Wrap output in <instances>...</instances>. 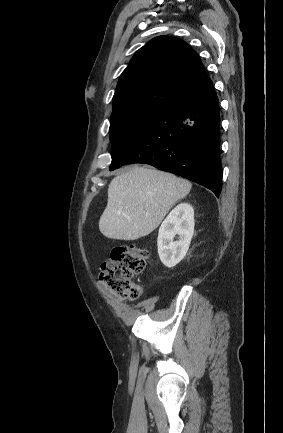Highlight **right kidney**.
Here are the masks:
<instances>
[{"label": "right kidney", "instance_id": "1", "mask_svg": "<svg viewBox=\"0 0 283 433\" xmlns=\"http://www.w3.org/2000/svg\"><path fill=\"white\" fill-rule=\"evenodd\" d=\"M194 224V209L188 203L177 205L161 224L157 246L160 260L166 267H174L185 257ZM175 235H178L177 241H174Z\"/></svg>", "mask_w": 283, "mask_h": 433}]
</instances>
